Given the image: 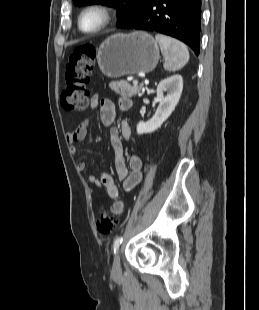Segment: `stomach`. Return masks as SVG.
Wrapping results in <instances>:
<instances>
[{
	"instance_id": "stomach-1",
	"label": "stomach",
	"mask_w": 259,
	"mask_h": 310,
	"mask_svg": "<svg viewBox=\"0 0 259 310\" xmlns=\"http://www.w3.org/2000/svg\"><path fill=\"white\" fill-rule=\"evenodd\" d=\"M96 57L106 77L119 78L152 71L158 63L160 52L151 35L137 31L111 35L100 45Z\"/></svg>"
}]
</instances>
